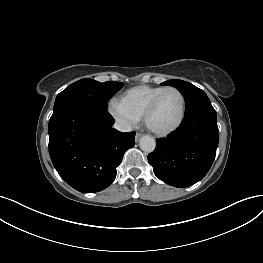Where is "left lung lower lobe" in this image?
<instances>
[{"label": "left lung lower lobe", "mask_w": 263, "mask_h": 263, "mask_svg": "<svg viewBox=\"0 0 263 263\" xmlns=\"http://www.w3.org/2000/svg\"><path fill=\"white\" fill-rule=\"evenodd\" d=\"M217 115L212 105L185 114L175 132L156 140L148 155L154 174L174 187H188L200 181L209 171L218 146Z\"/></svg>", "instance_id": "0a47b994"}]
</instances>
